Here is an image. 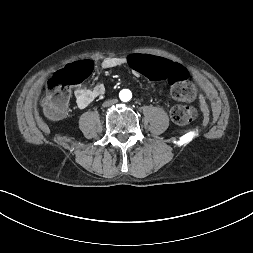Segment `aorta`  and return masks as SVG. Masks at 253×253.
Segmentation results:
<instances>
[{
	"mask_svg": "<svg viewBox=\"0 0 253 253\" xmlns=\"http://www.w3.org/2000/svg\"><path fill=\"white\" fill-rule=\"evenodd\" d=\"M120 99L124 102L129 101L131 99V92L128 90H123L120 92Z\"/></svg>",
	"mask_w": 253,
	"mask_h": 253,
	"instance_id": "obj_1",
	"label": "aorta"
}]
</instances>
